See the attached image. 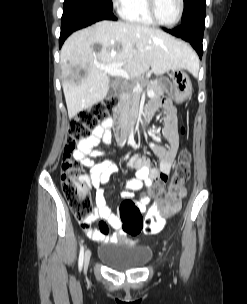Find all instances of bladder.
<instances>
[{
    "mask_svg": "<svg viewBox=\"0 0 247 304\" xmlns=\"http://www.w3.org/2000/svg\"><path fill=\"white\" fill-rule=\"evenodd\" d=\"M152 254V249L149 246L126 240L108 241L98 248L100 261L119 272L144 267L152 258Z\"/></svg>",
    "mask_w": 247,
    "mask_h": 304,
    "instance_id": "obj_1",
    "label": "bladder"
}]
</instances>
